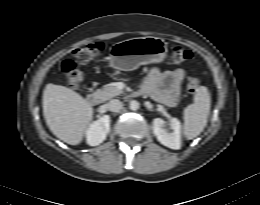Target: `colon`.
<instances>
[{
    "label": "colon",
    "mask_w": 260,
    "mask_h": 205,
    "mask_svg": "<svg viewBox=\"0 0 260 205\" xmlns=\"http://www.w3.org/2000/svg\"><path fill=\"white\" fill-rule=\"evenodd\" d=\"M103 51L101 43H89L81 45L73 51L72 57L62 62L61 69L69 86L76 88L84 80V74L79 65H85L94 61ZM191 58V52L181 45H173L170 48V59L173 63H183ZM199 87V80L196 77H189L187 90L195 93Z\"/></svg>",
    "instance_id": "5ec220e1"
}]
</instances>
